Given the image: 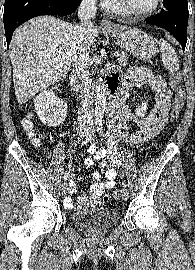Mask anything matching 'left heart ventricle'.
I'll list each match as a JSON object with an SVG mask.
<instances>
[{
  "mask_svg": "<svg viewBox=\"0 0 195 270\" xmlns=\"http://www.w3.org/2000/svg\"><path fill=\"white\" fill-rule=\"evenodd\" d=\"M126 1L132 8L139 11L148 10L155 4V0H126Z\"/></svg>",
  "mask_w": 195,
  "mask_h": 270,
  "instance_id": "b2bd125f",
  "label": "left heart ventricle"
}]
</instances>
